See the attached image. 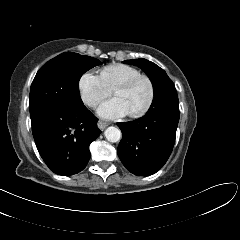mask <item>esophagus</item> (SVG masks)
Listing matches in <instances>:
<instances>
[{"label": "esophagus", "instance_id": "1", "mask_svg": "<svg viewBox=\"0 0 240 240\" xmlns=\"http://www.w3.org/2000/svg\"><path fill=\"white\" fill-rule=\"evenodd\" d=\"M97 125L100 130H104L109 124L104 121H98Z\"/></svg>", "mask_w": 240, "mask_h": 240}]
</instances>
